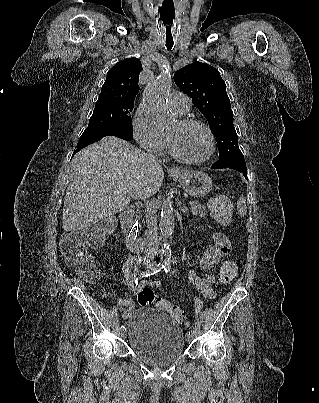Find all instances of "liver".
I'll return each instance as SVG.
<instances>
[{"label": "liver", "mask_w": 319, "mask_h": 403, "mask_svg": "<svg viewBox=\"0 0 319 403\" xmlns=\"http://www.w3.org/2000/svg\"><path fill=\"white\" fill-rule=\"evenodd\" d=\"M164 172L140 149L114 136L77 153L71 165L62 214L63 229L74 232L123 211L142 187H161Z\"/></svg>", "instance_id": "obj_1"}]
</instances>
